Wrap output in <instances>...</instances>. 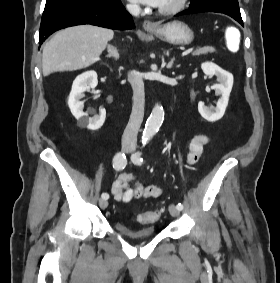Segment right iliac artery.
<instances>
[{
	"instance_id": "right-iliac-artery-1",
	"label": "right iliac artery",
	"mask_w": 280,
	"mask_h": 283,
	"mask_svg": "<svg viewBox=\"0 0 280 283\" xmlns=\"http://www.w3.org/2000/svg\"><path fill=\"white\" fill-rule=\"evenodd\" d=\"M127 164L126 156L122 152H118L113 158V168L117 171H121ZM102 199L107 200L109 198L108 193H102Z\"/></svg>"
}]
</instances>
